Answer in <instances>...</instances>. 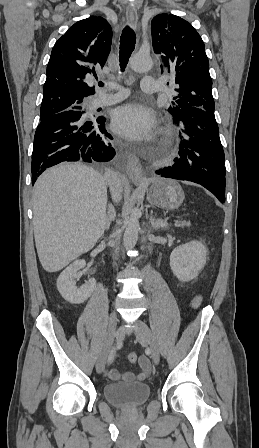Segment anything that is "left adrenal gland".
Returning a JSON list of instances; mask_svg holds the SVG:
<instances>
[{
    "label": "left adrenal gland",
    "instance_id": "a2214340",
    "mask_svg": "<svg viewBox=\"0 0 259 448\" xmlns=\"http://www.w3.org/2000/svg\"><path fill=\"white\" fill-rule=\"evenodd\" d=\"M151 226L154 230H165L168 228L167 220H154L153 216L150 218Z\"/></svg>",
    "mask_w": 259,
    "mask_h": 448
}]
</instances>
